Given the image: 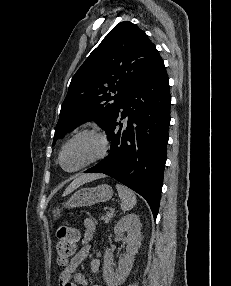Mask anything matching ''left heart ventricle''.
<instances>
[{
	"mask_svg": "<svg viewBox=\"0 0 231 286\" xmlns=\"http://www.w3.org/2000/svg\"><path fill=\"white\" fill-rule=\"evenodd\" d=\"M98 151L99 143L95 137L82 136L66 148L62 158L63 167L68 170L77 168L94 157Z\"/></svg>",
	"mask_w": 231,
	"mask_h": 286,
	"instance_id": "obj_1",
	"label": "left heart ventricle"
}]
</instances>
